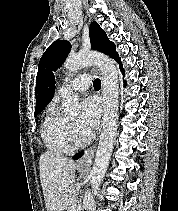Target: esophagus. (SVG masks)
<instances>
[{"label":"esophagus","instance_id":"34e87169","mask_svg":"<svg viewBox=\"0 0 178 211\" xmlns=\"http://www.w3.org/2000/svg\"><path fill=\"white\" fill-rule=\"evenodd\" d=\"M100 131V130H99ZM98 138L95 139L94 143L84 152V154L78 159L76 166L79 168H88L90 166L93 154L97 147Z\"/></svg>","mask_w":178,"mask_h":211}]
</instances>
